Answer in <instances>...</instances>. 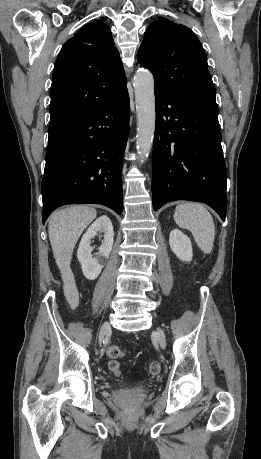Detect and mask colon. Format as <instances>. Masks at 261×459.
I'll use <instances>...</instances> for the list:
<instances>
[{"mask_svg":"<svg viewBox=\"0 0 261 459\" xmlns=\"http://www.w3.org/2000/svg\"><path fill=\"white\" fill-rule=\"evenodd\" d=\"M106 355L110 359L108 362L109 370L115 375H119L121 366L117 359L123 356V351L117 345H110L106 349ZM148 370L151 375H158L161 371V366L158 362L154 361L150 363Z\"/></svg>","mask_w":261,"mask_h":459,"instance_id":"obj_1","label":"colon"}]
</instances>
